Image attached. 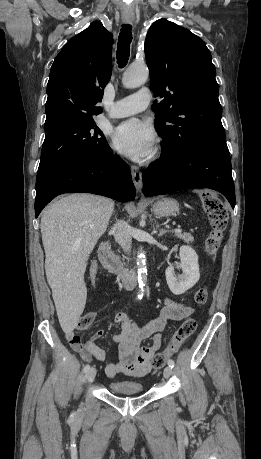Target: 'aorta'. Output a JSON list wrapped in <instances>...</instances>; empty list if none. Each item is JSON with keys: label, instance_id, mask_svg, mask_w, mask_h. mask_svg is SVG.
I'll return each mask as SVG.
<instances>
[{"label": "aorta", "instance_id": "aorta-1", "mask_svg": "<svg viewBox=\"0 0 261 459\" xmlns=\"http://www.w3.org/2000/svg\"><path fill=\"white\" fill-rule=\"evenodd\" d=\"M149 76V70L146 65L131 66L128 68L122 78V83L125 88H137L143 85ZM137 274L139 283L138 296L143 297L147 280L146 256L140 249L137 253Z\"/></svg>", "mask_w": 261, "mask_h": 459}]
</instances>
